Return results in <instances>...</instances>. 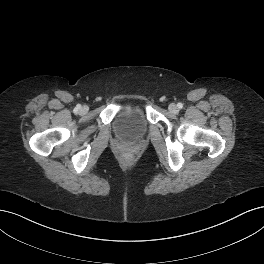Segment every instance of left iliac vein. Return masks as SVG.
<instances>
[{
  "mask_svg": "<svg viewBox=\"0 0 264 264\" xmlns=\"http://www.w3.org/2000/svg\"><path fill=\"white\" fill-rule=\"evenodd\" d=\"M168 109L172 113H177L178 112V108H177V106L174 103L170 104Z\"/></svg>",
  "mask_w": 264,
  "mask_h": 264,
  "instance_id": "1",
  "label": "left iliac vein"
}]
</instances>
